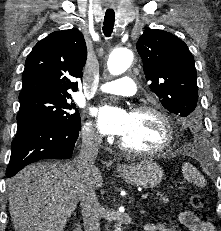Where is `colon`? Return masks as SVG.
I'll return each instance as SVG.
<instances>
[{"label": "colon", "mask_w": 221, "mask_h": 231, "mask_svg": "<svg viewBox=\"0 0 221 231\" xmlns=\"http://www.w3.org/2000/svg\"><path fill=\"white\" fill-rule=\"evenodd\" d=\"M189 202L193 208L200 209L204 206V199L201 195L194 194L189 198Z\"/></svg>", "instance_id": "obj_1"}]
</instances>
